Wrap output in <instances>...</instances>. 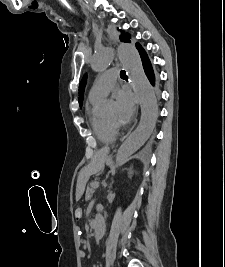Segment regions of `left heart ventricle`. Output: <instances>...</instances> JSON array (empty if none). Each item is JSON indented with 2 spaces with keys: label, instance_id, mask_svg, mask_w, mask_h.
I'll list each match as a JSON object with an SVG mask.
<instances>
[{
  "label": "left heart ventricle",
  "instance_id": "b2bd125f",
  "mask_svg": "<svg viewBox=\"0 0 225 267\" xmlns=\"http://www.w3.org/2000/svg\"><path fill=\"white\" fill-rule=\"evenodd\" d=\"M107 120L109 122H114L115 121V113H111L108 117Z\"/></svg>",
  "mask_w": 225,
  "mask_h": 267
}]
</instances>
